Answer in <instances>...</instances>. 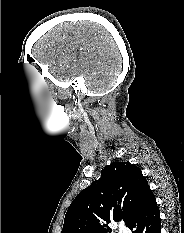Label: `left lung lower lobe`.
Instances as JSON below:
<instances>
[{"mask_svg":"<svg viewBox=\"0 0 184 233\" xmlns=\"http://www.w3.org/2000/svg\"><path fill=\"white\" fill-rule=\"evenodd\" d=\"M127 227L132 233H161L160 212L151 190L145 195Z\"/></svg>","mask_w":184,"mask_h":233,"instance_id":"left-lung-lower-lobe-1","label":"left lung lower lobe"}]
</instances>
